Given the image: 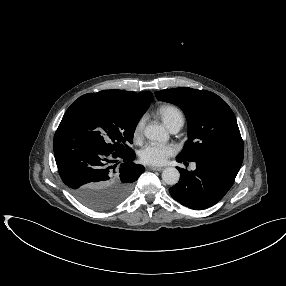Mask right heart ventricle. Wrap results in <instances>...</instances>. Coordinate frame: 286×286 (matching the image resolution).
Returning a JSON list of instances; mask_svg holds the SVG:
<instances>
[{"instance_id":"right-heart-ventricle-1","label":"right heart ventricle","mask_w":286,"mask_h":286,"mask_svg":"<svg viewBox=\"0 0 286 286\" xmlns=\"http://www.w3.org/2000/svg\"><path fill=\"white\" fill-rule=\"evenodd\" d=\"M158 114L168 127L178 121H184V117L181 110L173 105L161 106L158 109Z\"/></svg>"}]
</instances>
